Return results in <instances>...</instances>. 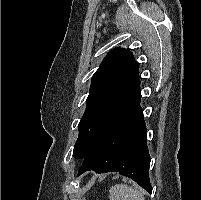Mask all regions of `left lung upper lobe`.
<instances>
[{
    "label": "left lung upper lobe",
    "instance_id": "5c2ea615",
    "mask_svg": "<svg viewBox=\"0 0 201 200\" xmlns=\"http://www.w3.org/2000/svg\"><path fill=\"white\" fill-rule=\"evenodd\" d=\"M139 84V67L132 52L112 49L92 76L86 110L78 124L79 135L73 150L75 158H83L107 116Z\"/></svg>",
    "mask_w": 201,
    "mask_h": 200
}]
</instances>
